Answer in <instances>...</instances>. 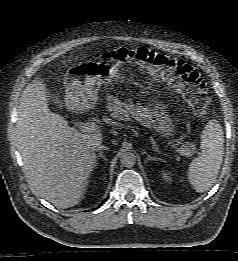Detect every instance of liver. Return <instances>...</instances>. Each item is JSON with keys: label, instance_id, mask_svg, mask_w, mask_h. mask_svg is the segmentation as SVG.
Returning a JSON list of instances; mask_svg holds the SVG:
<instances>
[{"label": "liver", "instance_id": "1", "mask_svg": "<svg viewBox=\"0 0 238 261\" xmlns=\"http://www.w3.org/2000/svg\"><path fill=\"white\" fill-rule=\"evenodd\" d=\"M46 85L40 81L22 92L17 120V144L33 192L58 208H70L84 197L96 163L95 146L102 134L82 133L52 112Z\"/></svg>", "mask_w": 238, "mask_h": 261}]
</instances>
